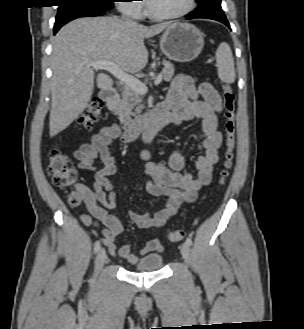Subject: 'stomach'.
Returning a JSON list of instances; mask_svg holds the SVG:
<instances>
[{
	"label": "stomach",
	"instance_id": "1",
	"mask_svg": "<svg viewBox=\"0 0 304 329\" xmlns=\"http://www.w3.org/2000/svg\"><path fill=\"white\" fill-rule=\"evenodd\" d=\"M204 38L201 31L189 23L170 25L160 38L162 53L170 60L189 62L202 51Z\"/></svg>",
	"mask_w": 304,
	"mask_h": 329
}]
</instances>
